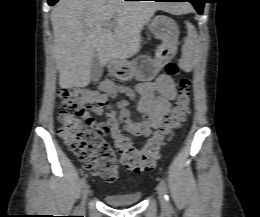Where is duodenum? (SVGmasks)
I'll return each mask as SVG.
<instances>
[{
  "instance_id": "410a0bca",
  "label": "duodenum",
  "mask_w": 260,
  "mask_h": 217,
  "mask_svg": "<svg viewBox=\"0 0 260 217\" xmlns=\"http://www.w3.org/2000/svg\"><path fill=\"white\" fill-rule=\"evenodd\" d=\"M111 58L115 61L116 58H117V55L114 53V54H112ZM111 69H112V71H113L114 73H116V72H118V71L120 70V67H119L118 65H116V64H113V65L111 66Z\"/></svg>"
}]
</instances>
